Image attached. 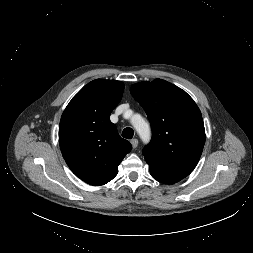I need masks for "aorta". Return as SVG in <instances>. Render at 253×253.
Here are the masks:
<instances>
[{
	"instance_id": "aorta-1",
	"label": "aorta",
	"mask_w": 253,
	"mask_h": 253,
	"mask_svg": "<svg viewBox=\"0 0 253 253\" xmlns=\"http://www.w3.org/2000/svg\"><path fill=\"white\" fill-rule=\"evenodd\" d=\"M138 119L134 118L132 119V124L135 127L136 131L138 132V134L140 135L142 141L144 143L149 142L150 140V127L148 125V123L139 115H137Z\"/></svg>"
}]
</instances>
